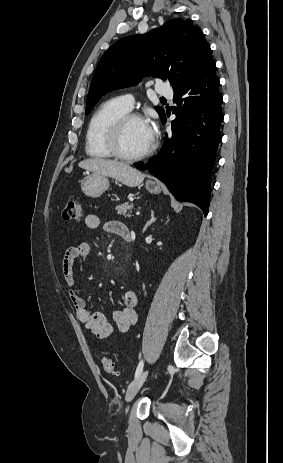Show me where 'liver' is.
I'll return each mask as SVG.
<instances>
[{
    "label": "liver",
    "mask_w": 283,
    "mask_h": 463,
    "mask_svg": "<svg viewBox=\"0 0 283 463\" xmlns=\"http://www.w3.org/2000/svg\"><path fill=\"white\" fill-rule=\"evenodd\" d=\"M78 166L96 175L111 177L128 187L140 185L145 175L124 162L116 160L91 158L81 161Z\"/></svg>",
    "instance_id": "1"
}]
</instances>
